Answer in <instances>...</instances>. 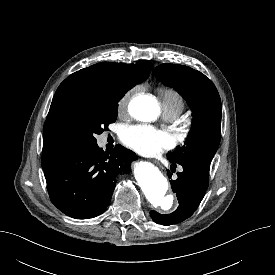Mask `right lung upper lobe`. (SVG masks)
Here are the masks:
<instances>
[{
  "instance_id": "cb5924a9",
  "label": "right lung upper lobe",
  "mask_w": 275,
  "mask_h": 275,
  "mask_svg": "<svg viewBox=\"0 0 275 275\" xmlns=\"http://www.w3.org/2000/svg\"><path fill=\"white\" fill-rule=\"evenodd\" d=\"M152 67L149 61L128 65L102 62L66 78L53 97L43 127V169L52 167L76 150L56 122L55 114L61 105L68 102L120 100L128 90L147 79Z\"/></svg>"
}]
</instances>
